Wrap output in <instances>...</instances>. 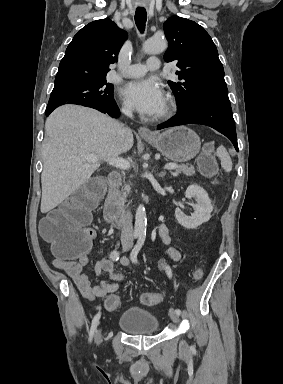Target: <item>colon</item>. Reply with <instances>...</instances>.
I'll return each instance as SVG.
<instances>
[{
	"label": "colon",
	"mask_w": 283,
	"mask_h": 384,
	"mask_svg": "<svg viewBox=\"0 0 283 384\" xmlns=\"http://www.w3.org/2000/svg\"><path fill=\"white\" fill-rule=\"evenodd\" d=\"M198 165L201 173L213 178L217 174V164L212 153L207 150L200 155ZM105 192L101 178H93L72 194L58 209L45 217L40 224L41 235L52 243L55 255L62 259H79L87 256L91 248L93 233L89 229L91 211L97 206ZM201 273L195 274L199 279ZM145 305L158 304L163 300L161 293L145 292L140 296ZM120 297L110 294L104 301L108 311L120 306Z\"/></svg>",
	"instance_id": "obj_1"
}]
</instances>
